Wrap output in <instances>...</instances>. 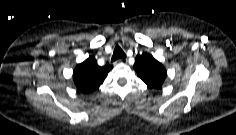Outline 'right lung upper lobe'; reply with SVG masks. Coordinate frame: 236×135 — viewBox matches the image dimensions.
I'll use <instances>...</instances> for the list:
<instances>
[{
  "label": "right lung upper lobe",
  "mask_w": 236,
  "mask_h": 135,
  "mask_svg": "<svg viewBox=\"0 0 236 135\" xmlns=\"http://www.w3.org/2000/svg\"><path fill=\"white\" fill-rule=\"evenodd\" d=\"M113 68L107 63L99 66L93 57L87 58L78 64L73 72V80L77 90L82 93H91L99 88L108 72Z\"/></svg>",
  "instance_id": "right-lung-upper-lobe-1"
}]
</instances>
